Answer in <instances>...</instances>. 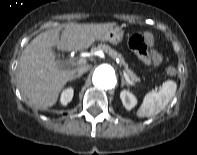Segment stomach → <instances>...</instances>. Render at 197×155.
<instances>
[{
    "label": "stomach",
    "instance_id": "0dacf381",
    "mask_svg": "<svg viewBox=\"0 0 197 155\" xmlns=\"http://www.w3.org/2000/svg\"><path fill=\"white\" fill-rule=\"evenodd\" d=\"M124 36V31L121 27H112L111 29L107 30L103 35L100 36L98 40L100 41H107L112 44L119 43Z\"/></svg>",
    "mask_w": 197,
    "mask_h": 155
}]
</instances>
